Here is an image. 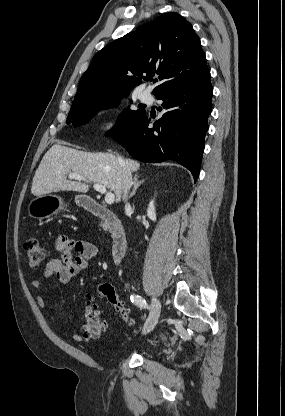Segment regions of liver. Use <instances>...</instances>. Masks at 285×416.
I'll return each mask as SVG.
<instances>
[{"label": "liver", "mask_w": 285, "mask_h": 416, "mask_svg": "<svg viewBox=\"0 0 285 416\" xmlns=\"http://www.w3.org/2000/svg\"><path fill=\"white\" fill-rule=\"evenodd\" d=\"M124 162L132 172H137L140 168V164L134 160ZM67 174H80L87 178V182L106 186L114 192L115 202H120L122 198L123 166L117 156L102 152H79L60 144H54L41 160L33 178V196H43L51 192H88L89 186L67 180Z\"/></svg>", "instance_id": "6515ba94"}]
</instances>
